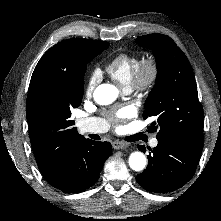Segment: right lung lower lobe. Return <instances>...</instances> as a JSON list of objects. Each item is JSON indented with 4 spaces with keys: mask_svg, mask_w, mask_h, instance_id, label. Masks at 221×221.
I'll use <instances>...</instances> for the list:
<instances>
[{
    "mask_svg": "<svg viewBox=\"0 0 221 221\" xmlns=\"http://www.w3.org/2000/svg\"><path fill=\"white\" fill-rule=\"evenodd\" d=\"M111 148L110 142L82 141L66 157L61 176L48 182L65 193L90 188L97 181Z\"/></svg>",
    "mask_w": 221,
    "mask_h": 221,
    "instance_id": "98d812e1",
    "label": "right lung lower lobe"
}]
</instances>
